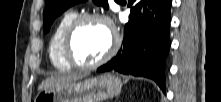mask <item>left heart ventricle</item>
<instances>
[{
    "label": "left heart ventricle",
    "instance_id": "left-heart-ventricle-1",
    "mask_svg": "<svg viewBox=\"0 0 221 102\" xmlns=\"http://www.w3.org/2000/svg\"><path fill=\"white\" fill-rule=\"evenodd\" d=\"M111 44L108 27L95 20L85 21L74 33L71 52L80 63H92L102 57Z\"/></svg>",
    "mask_w": 221,
    "mask_h": 102
}]
</instances>
